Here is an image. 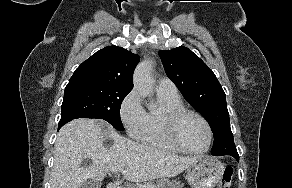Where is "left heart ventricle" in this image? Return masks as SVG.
<instances>
[{"instance_id": "obj_1", "label": "left heart ventricle", "mask_w": 292, "mask_h": 188, "mask_svg": "<svg viewBox=\"0 0 292 188\" xmlns=\"http://www.w3.org/2000/svg\"><path fill=\"white\" fill-rule=\"evenodd\" d=\"M181 142L189 149L202 150L208 142V134L203 122L195 116L188 115L178 127Z\"/></svg>"}]
</instances>
